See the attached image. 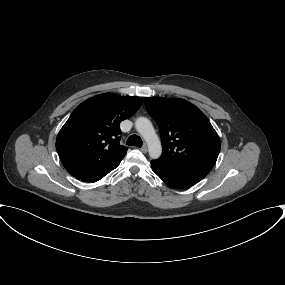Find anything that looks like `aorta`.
Segmentation results:
<instances>
[{
	"label": "aorta",
	"instance_id": "obj_1",
	"mask_svg": "<svg viewBox=\"0 0 285 285\" xmlns=\"http://www.w3.org/2000/svg\"><path fill=\"white\" fill-rule=\"evenodd\" d=\"M135 127L147 143L150 157L158 159L162 153V146L151 121L146 117H139L135 121Z\"/></svg>",
	"mask_w": 285,
	"mask_h": 285
}]
</instances>
